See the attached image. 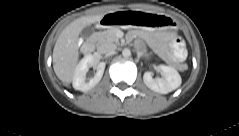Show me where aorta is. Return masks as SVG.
I'll list each match as a JSON object with an SVG mask.
<instances>
[{
  "label": "aorta",
  "mask_w": 239,
  "mask_h": 136,
  "mask_svg": "<svg viewBox=\"0 0 239 136\" xmlns=\"http://www.w3.org/2000/svg\"><path fill=\"white\" fill-rule=\"evenodd\" d=\"M122 55H123L124 57H129V56H131V51H130V49L124 48L123 51H122Z\"/></svg>",
  "instance_id": "762f6f07"
}]
</instances>
